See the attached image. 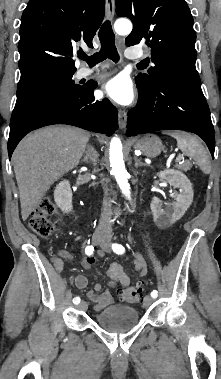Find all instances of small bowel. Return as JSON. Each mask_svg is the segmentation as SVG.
Segmentation results:
<instances>
[{
	"label": "small bowel",
	"instance_id": "1",
	"mask_svg": "<svg viewBox=\"0 0 221 379\" xmlns=\"http://www.w3.org/2000/svg\"><path fill=\"white\" fill-rule=\"evenodd\" d=\"M61 257L68 259L71 258L70 254L66 251L61 252ZM94 263L95 257L88 255L83 261L82 266L85 269H90ZM134 264L135 271L137 272L138 276L144 277L147 274L148 270L145 261L140 255L136 254ZM54 265L58 271H61L63 268V262L61 259H55ZM107 274L110 279L108 282L107 289L100 293V291L102 290V285L95 284L93 289L87 292V297L94 303V310L97 312L103 310L104 308L112 304V288H116L118 291H123L131 283V280L125 273L123 267L118 263H112L108 269ZM87 284L88 280L85 275L80 274L75 277V285L77 286V288L84 289L86 288Z\"/></svg>",
	"mask_w": 221,
	"mask_h": 379
}]
</instances>
